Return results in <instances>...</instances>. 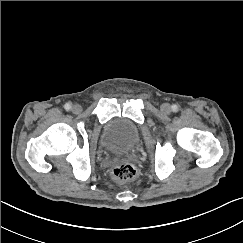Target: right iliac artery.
I'll return each mask as SVG.
<instances>
[{
  "label": "right iliac artery",
  "mask_w": 243,
  "mask_h": 243,
  "mask_svg": "<svg viewBox=\"0 0 243 243\" xmlns=\"http://www.w3.org/2000/svg\"><path fill=\"white\" fill-rule=\"evenodd\" d=\"M64 108H65V110L69 111L71 109V104L70 103H66L64 105Z\"/></svg>",
  "instance_id": "82829eb1"
}]
</instances>
